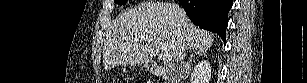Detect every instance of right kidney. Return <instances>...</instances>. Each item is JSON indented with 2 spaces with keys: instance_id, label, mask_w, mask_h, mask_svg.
<instances>
[{
  "instance_id": "ca27d5eb",
  "label": "right kidney",
  "mask_w": 307,
  "mask_h": 83,
  "mask_svg": "<svg viewBox=\"0 0 307 83\" xmlns=\"http://www.w3.org/2000/svg\"><path fill=\"white\" fill-rule=\"evenodd\" d=\"M211 66L207 60H202L194 67L191 74V83H209Z\"/></svg>"
}]
</instances>
